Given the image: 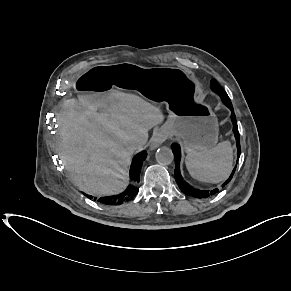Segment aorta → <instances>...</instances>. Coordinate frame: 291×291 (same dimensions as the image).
<instances>
[{
    "label": "aorta",
    "instance_id": "762f6f07",
    "mask_svg": "<svg viewBox=\"0 0 291 291\" xmlns=\"http://www.w3.org/2000/svg\"><path fill=\"white\" fill-rule=\"evenodd\" d=\"M155 157H156L157 162L163 165L172 163L174 159L172 150L165 146L157 150Z\"/></svg>",
    "mask_w": 291,
    "mask_h": 291
}]
</instances>
